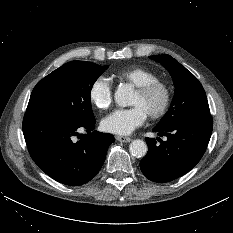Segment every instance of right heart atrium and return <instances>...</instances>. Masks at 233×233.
Instances as JSON below:
<instances>
[{
  "instance_id": "1",
  "label": "right heart atrium",
  "mask_w": 233,
  "mask_h": 233,
  "mask_svg": "<svg viewBox=\"0 0 233 233\" xmlns=\"http://www.w3.org/2000/svg\"><path fill=\"white\" fill-rule=\"evenodd\" d=\"M88 97L95 108L108 109L113 101V87L110 80L105 77L96 78L89 88Z\"/></svg>"
}]
</instances>
